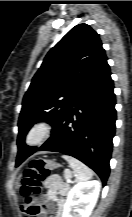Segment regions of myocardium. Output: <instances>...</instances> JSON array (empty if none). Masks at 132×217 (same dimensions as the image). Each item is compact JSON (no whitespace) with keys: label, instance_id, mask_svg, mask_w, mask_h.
Returning a JSON list of instances; mask_svg holds the SVG:
<instances>
[{"label":"myocardium","instance_id":"obj_1","mask_svg":"<svg viewBox=\"0 0 132 217\" xmlns=\"http://www.w3.org/2000/svg\"><path fill=\"white\" fill-rule=\"evenodd\" d=\"M51 132V127L46 122H37L30 127L25 135V143L28 146L41 144Z\"/></svg>","mask_w":132,"mask_h":217}]
</instances>
